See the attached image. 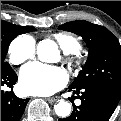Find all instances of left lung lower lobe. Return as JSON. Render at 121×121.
Returning <instances> with one entry per match:
<instances>
[{
    "label": "left lung lower lobe",
    "instance_id": "left-lung-lower-lobe-1",
    "mask_svg": "<svg viewBox=\"0 0 121 121\" xmlns=\"http://www.w3.org/2000/svg\"><path fill=\"white\" fill-rule=\"evenodd\" d=\"M75 94L81 93V105L75 106L72 114L58 121H108L116 109L120 98H117L107 90L100 87L85 86L73 88L69 91Z\"/></svg>",
    "mask_w": 121,
    "mask_h": 121
}]
</instances>
